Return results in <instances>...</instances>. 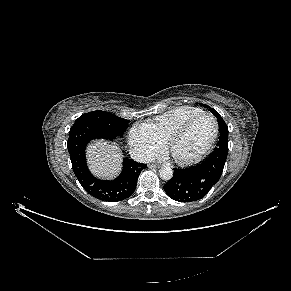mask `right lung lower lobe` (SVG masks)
<instances>
[{
    "label": "right lung lower lobe",
    "mask_w": 291,
    "mask_h": 291,
    "mask_svg": "<svg viewBox=\"0 0 291 291\" xmlns=\"http://www.w3.org/2000/svg\"><path fill=\"white\" fill-rule=\"evenodd\" d=\"M100 138L115 139L114 136L104 133L90 124L71 127L67 148L73 171L82 187L93 197L110 202L124 200L135 191L139 174L147 165L125 158L119 177L114 180L96 178L88 169L85 149L91 140Z\"/></svg>",
    "instance_id": "right-lung-lower-lobe-1"
}]
</instances>
